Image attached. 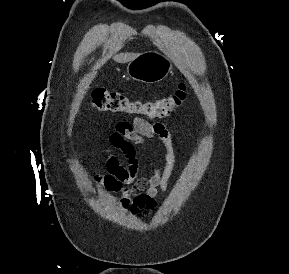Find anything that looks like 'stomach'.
<instances>
[{
	"label": "stomach",
	"mask_w": 289,
	"mask_h": 274,
	"mask_svg": "<svg viewBox=\"0 0 289 274\" xmlns=\"http://www.w3.org/2000/svg\"><path fill=\"white\" fill-rule=\"evenodd\" d=\"M172 69L170 59L157 51H146L128 63L130 78L144 83H157L167 77Z\"/></svg>",
	"instance_id": "stomach-1"
}]
</instances>
